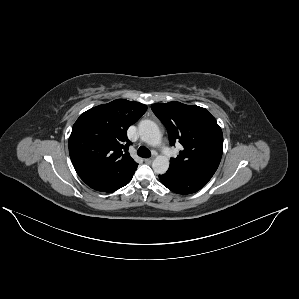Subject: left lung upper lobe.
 Here are the masks:
<instances>
[{
	"label": "left lung upper lobe",
	"mask_w": 299,
	"mask_h": 299,
	"mask_svg": "<svg viewBox=\"0 0 299 299\" xmlns=\"http://www.w3.org/2000/svg\"><path fill=\"white\" fill-rule=\"evenodd\" d=\"M151 109L165 125L170 144L179 141L184 148L170 159L168 171L214 174L222 156L223 134L210 112L180 102L157 103Z\"/></svg>",
	"instance_id": "obj_1"
}]
</instances>
